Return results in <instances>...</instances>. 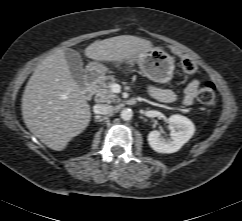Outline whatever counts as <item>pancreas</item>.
Here are the masks:
<instances>
[{
    "instance_id": "pancreas-1",
    "label": "pancreas",
    "mask_w": 242,
    "mask_h": 221,
    "mask_svg": "<svg viewBox=\"0 0 242 221\" xmlns=\"http://www.w3.org/2000/svg\"><path fill=\"white\" fill-rule=\"evenodd\" d=\"M116 82L118 80L112 75L104 76L100 79L92 89L93 94H95V101L102 103L120 102V99L112 90V86Z\"/></svg>"
}]
</instances>
